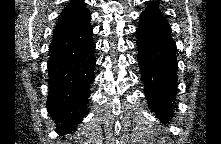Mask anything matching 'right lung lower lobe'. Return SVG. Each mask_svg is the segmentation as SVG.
I'll use <instances>...</instances> for the list:
<instances>
[{
	"instance_id": "obj_1",
	"label": "right lung lower lobe",
	"mask_w": 221,
	"mask_h": 144,
	"mask_svg": "<svg viewBox=\"0 0 221 144\" xmlns=\"http://www.w3.org/2000/svg\"><path fill=\"white\" fill-rule=\"evenodd\" d=\"M92 34L89 23L50 44L47 108L60 135L75 130L87 112L96 65Z\"/></svg>"
}]
</instances>
